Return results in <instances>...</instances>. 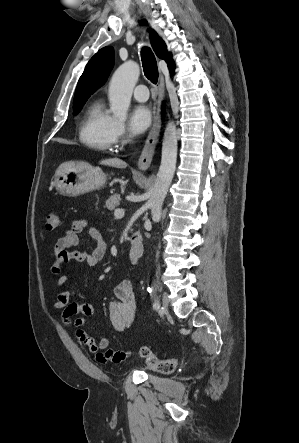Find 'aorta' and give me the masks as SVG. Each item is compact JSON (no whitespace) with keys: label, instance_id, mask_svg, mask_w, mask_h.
Instances as JSON below:
<instances>
[{"label":"aorta","instance_id":"762f6f07","mask_svg":"<svg viewBox=\"0 0 299 443\" xmlns=\"http://www.w3.org/2000/svg\"><path fill=\"white\" fill-rule=\"evenodd\" d=\"M139 75V65L134 61L123 63L114 72L109 84L108 96L110 109L115 118L120 120L126 118L133 89ZM177 141L175 123L169 121L163 136L160 168L148 200L153 221H159L161 218L163 202L174 176L177 160Z\"/></svg>","mask_w":299,"mask_h":443}]
</instances>
